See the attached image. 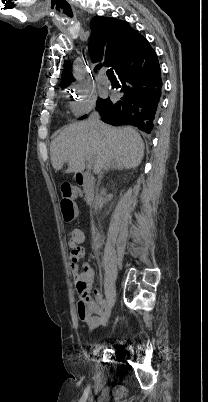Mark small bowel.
Listing matches in <instances>:
<instances>
[{
  "label": "small bowel",
  "mask_w": 208,
  "mask_h": 402,
  "mask_svg": "<svg viewBox=\"0 0 208 402\" xmlns=\"http://www.w3.org/2000/svg\"><path fill=\"white\" fill-rule=\"evenodd\" d=\"M86 236H81L79 241L81 243L87 242ZM71 270L73 275V280L76 286V290L80 297L84 298L87 296L88 290L91 288L94 281V271L90 264L83 263L80 267H74L71 264ZM104 300V296L102 293H98L97 300L90 302L91 309L95 312V316L90 319L85 315H80L78 317V322L82 324V328L84 330H97L99 325L107 322V317L105 310L103 309L101 302Z\"/></svg>",
  "instance_id": "small-bowel-1"
}]
</instances>
